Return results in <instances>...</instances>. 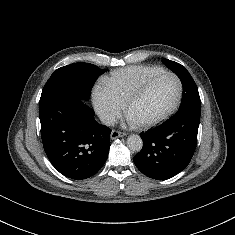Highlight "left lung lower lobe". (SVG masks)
<instances>
[{
	"mask_svg": "<svg viewBox=\"0 0 235 235\" xmlns=\"http://www.w3.org/2000/svg\"><path fill=\"white\" fill-rule=\"evenodd\" d=\"M200 113L175 114L161 125L142 132V150L134 163L146 176L165 180L181 172L189 164L197 143Z\"/></svg>",
	"mask_w": 235,
	"mask_h": 235,
	"instance_id": "obj_1",
	"label": "left lung lower lobe"
}]
</instances>
